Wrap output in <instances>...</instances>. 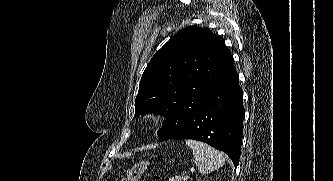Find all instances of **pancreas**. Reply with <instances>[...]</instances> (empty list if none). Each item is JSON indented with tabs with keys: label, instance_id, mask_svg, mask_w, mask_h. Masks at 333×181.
I'll list each match as a JSON object with an SVG mask.
<instances>
[{
	"label": "pancreas",
	"instance_id": "pancreas-1",
	"mask_svg": "<svg viewBox=\"0 0 333 181\" xmlns=\"http://www.w3.org/2000/svg\"><path fill=\"white\" fill-rule=\"evenodd\" d=\"M183 179L180 176H175L169 179V181H182Z\"/></svg>",
	"mask_w": 333,
	"mask_h": 181
}]
</instances>
